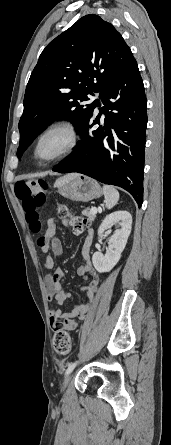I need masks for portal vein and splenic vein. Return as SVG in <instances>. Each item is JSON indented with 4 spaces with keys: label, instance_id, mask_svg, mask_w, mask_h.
Instances as JSON below:
<instances>
[{
    "label": "portal vein and splenic vein",
    "instance_id": "portal-vein-and-splenic-vein-1",
    "mask_svg": "<svg viewBox=\"0 0 171 445\" xmlns=\"http://www.w3.org/2000/svg\"><path fill=\"white\" fill-rule=\"evenodd\" d=\"M91 214H96L97 213V208L93 207L90 210Z\"/></svg>",
    "mask_w": 171,
    "mask_h": 445
}]
</instances>
